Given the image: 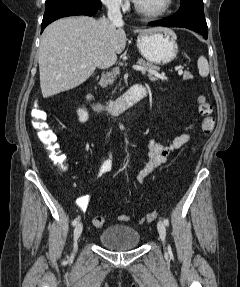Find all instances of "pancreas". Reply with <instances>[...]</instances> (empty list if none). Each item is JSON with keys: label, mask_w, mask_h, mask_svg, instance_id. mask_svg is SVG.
Masks as SVG:
<instances>
[{"label": "pancreas", "mask_w": 240, "mask_h": 287, "mask_svg": "<svg viewBox=\"0 0 240 287\" xmlns=\"http://www.w3.org/2000/svg\"><path fill=\"white\" fill-rule=\"evenodd\" d=\"M140 66L144 67L145 69H148V70H151V71H154V72H157L159 70V67L157 66H154L152 63L150 62H146L145 60L143 59H139L138 62H137ZM144 75L146 74L145 71L142 72ZM119 74V72L117 70L115 71H112V72H109L107 73L106 75H103L99 84L103 87H107L108 85H111L113 84V82L115 81V78L116 76ZM149 79L151 81H157L159 78L157 76H155L153 73L151 72H148L146 74ZM193 76L190 72L188 71H185L184 74H183V80H187V79H192Z\"/></svg>", "instance_id": "obj_1"}]
</instances>
